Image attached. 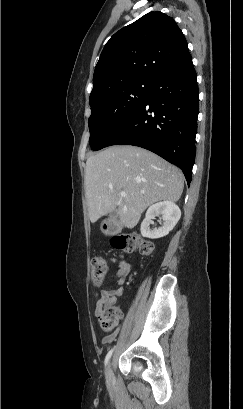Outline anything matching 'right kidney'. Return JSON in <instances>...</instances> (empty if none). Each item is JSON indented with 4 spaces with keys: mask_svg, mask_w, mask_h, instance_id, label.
Wrapping results in <instances>:
<instances>
[{
    "mask_svg": "<svg viewBox=\"0 0 243 409\" xmlns=\"http://www.w3.org/2000/svg\"><path fill=\"white\" fill-rule=\"evenodd\" d=\"M161 215L163 224L159 228L151 230L150 222L156 216ZM181 217L179 207L170 201H163L150 206L146 212L145 219L141 223V234L143 237L157 239L169 234Z\"/></svg>",
    "mask_w": 243,
    "mask_h": 409,
    "instance_id": "1",
    "label": "right kidney"
}]
</instances>
